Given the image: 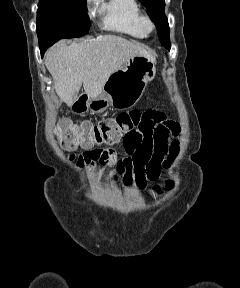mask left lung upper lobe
<instances>
[{
    "mask_svg": "<svg viewBox=\"0 0 240 288\" xmlns=\"http://www.w3.org/2000/svg\"><path fill=\"white\" fill-rule=\"evenodd\" d=\"M148 10L150 18L157 26L162 45L170 50L169 26L164 14L165 0H139Z\"/></svg>",
    "mask_w": 240,
    "mask_h": 288,
    "instance_id": "obj_1",
    "label": "left lung upper lobe"
}]
</instances>
